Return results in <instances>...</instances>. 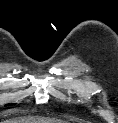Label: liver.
Listing matches in <instances>:
<instances>
[{"instance_id": "1", "label": "liver", "mask_w": 118, "mask_h": 123, "mask_svg": "<svg viewBox=\"0 0 118 123\" xmlns=\"http://www.w3.org/2000/svg\"><path fill=\"white\" fill-rule=\"evenodd\" d=\"M4 123H65L62 120H55L42 117H21L4 121Z\"/></svg>"}]
</instances>
